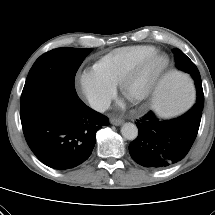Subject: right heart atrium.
I'll list each match as a JSON object with an SVG mask.
<instances>
[{"label": "right heart atrium", "instance_id": "right-heart-atrium-1", "mask_svg": "<svg viewBox=\"0 0 215 215\" xmlns=\"http://www.w3.org/2000/svg\"><path fill=\"white\" fill-rule=\"evenodd\" d=\"M78 92L96 110H105L116 93V85L94 67L81 71L76 77Z\"/></svg>", "mask_w": 215, "mask_h": 215}]
</instances>
